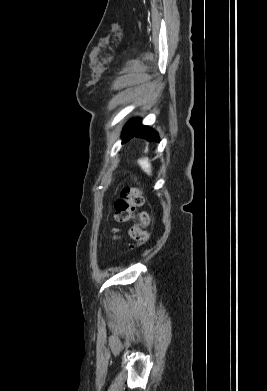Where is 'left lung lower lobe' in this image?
<instances>
[{
    "label": "left lung lower lobe",
    "mask_w": 267,
    "mask_h": 391,
    "mask_svg": "<svg viewBox=\"0 0 267 391\" xmlns=\"http://www.w3.org/2000/svg\"><path fill=\"white\" fill-rule=\"evenodd\" d=\"M123 143L127 142L132 137L144 138L148 141H159V136L156 131L148 126H143L140 119L131 120L124 128L122 133Z\"/></svg>",
    "instance_id": "left-lung-lower-lobe-1"
}]
</instances>
